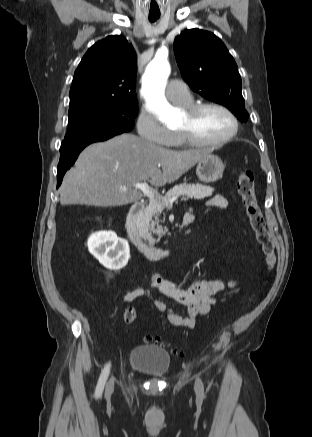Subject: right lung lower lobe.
I'll list each match as a JSON object with an SVG mask.
<instances>
[{
    "instance_id": "right-lung-lower-lobe-1",
    "label": "right lung lower lobe",
    "mask_w": 312,
    "mask_h": 437,
    "mask_svg": "<svg viewBox=\"0 0 312 437\" xmlns=\"http://www.w3.org/2000/svg\"><path fill=\"white\" fill-rule=\"evenodd\" d=\"M108 139V138H107ZM105 139V140H107ZM103 141V140H102ZM93 143V142H90ZM90 143L78 146L60 154V161L57 168V188L61 185L65 172L74 164L79 153Z\"/></svg>"
}]
</instances>
